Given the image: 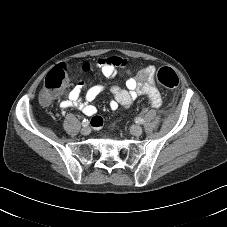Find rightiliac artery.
Instances as JSON below:
<instances>
[{
    "label": "right iliac artery",
    "mask_w": 227,
    "mask_h": 227,
    "mask_svg": "<svg viewBox=\"0 0 227 227\" xmlns=\"http://www.w3.org/2000/svg\"><path fill=\"white\" fill-rule=\"evenodd\" d=\"M88 124H89L88 120L84 119V120L82 121V125H83V126H88Z\"/></svg>",
    "instance_id": "obj_1"
}]
</instances>
